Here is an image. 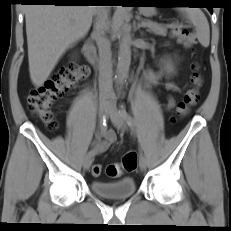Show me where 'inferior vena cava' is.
<instances>
[{
    "label": "inferior vena cava",
    "mask_w": 231,
    "mask_h": 231,
    "mask_svg": "<svg viewBox=\"0 0 231 231\" xmlns=\"http://www.w3.org/2000/svg\"><path fill=\"white\" fill-rule=\"evenodd\" d=\"M94 37L99 50V89L101 93L112 92V52L105 33L109 30V9L97 6L94 12Z\"/></svg>",
    "instance_id": "obj_1"
}]
</instances>
